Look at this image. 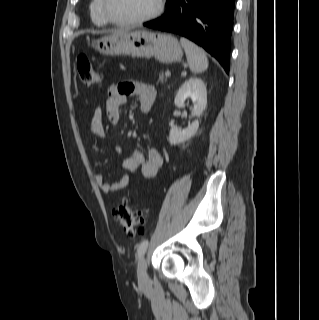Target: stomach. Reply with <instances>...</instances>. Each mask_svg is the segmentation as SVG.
<instances>
[{
  "instance_id": "1",
  "label": "stomach",
  "mask_w": 319,
  "mask_h": 320,
  "mask_svg": "<svg viewBox=\"0 0 319 320\" xmlns=\"http://www.w3.org/2000/svg\"><path fill=\"white\" fill-rule=\"evenodd\" d=\"M95 49L110 56L155 57L165 64L178 62L183 55L176 37L146 30H128L104 36L95 42Z\"/></svg>"
}]
</instances>
